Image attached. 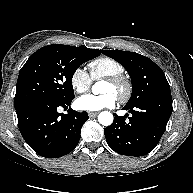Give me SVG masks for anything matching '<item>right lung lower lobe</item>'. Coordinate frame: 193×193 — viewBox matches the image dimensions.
Wrapping results in <instances>:
<instances>
[{"instance_id": "right-lung-lower-lobe-1", "label": "right lung lower lobe", "mask_w": 193, "mask_h": 193, "mask_svg": "<svg viewBox=\"0 0 193 193\" xmlns=\"http://www.w3.org/2000/svg\"><path fill=\"white\" fill-rule=\"evenodd\" d=\"M71 101L52 97L35 99L16 108L19 130L27 144L39 155L57 158L70 153L80 140L87 112L68 110L58 113L59 106H70Z\"/></svg>"}]
</instances>
